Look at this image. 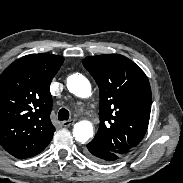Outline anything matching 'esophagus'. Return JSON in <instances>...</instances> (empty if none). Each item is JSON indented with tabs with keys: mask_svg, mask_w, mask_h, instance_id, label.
Listing matches in <instances>:
<instances>
[{
	"mask_svg": "<svg viewBox=\"0 0 183 183\" xmlns=\"http://www.w3.org/2000/svg\"><path fill=\"white\" fill-rule=\"evenodd\" d=\"M75 120L74 119H70L68 121H62L61 122V125L64 126V127H69L71 126L72 124H74Z\"/></svg>",
	"mask_w": 183,
	"mask_h": 183,
	"instance_id": "obj_1",
	"label": "esophagus"
}]
</instances>
